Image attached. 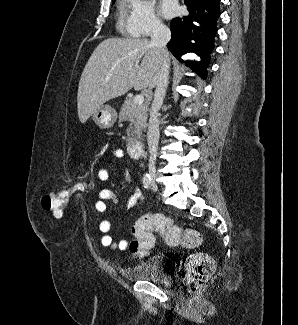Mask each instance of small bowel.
Segmentation results:
<instances>
[{
  "mask_svg": "<svg viewBox=\"0 0 298 325\" xmlns=\"http://www.w3.org/2000/svg\"><path fill=\"white\" fill-rule=\"evenodd\" d=\"M112 155L121 159L124 157V151L121 148L114 149L112 151ZM110 177L109 171L106 168H101L98 171V178L101 181H107ZM112 200L114 202H118L117 197L113 194V192L109 189H102L99 192V200L95 204V209L98 213H104L107 209L106 201ZM144 196L138 188H135L132 194L126 200V207L128 209L133 208L138 203H143ZM111 223L108 220H102L99 223V231L101 233V245L103 247H107L110 249H120L125 250L128 248V242L124 239L115 242L113 237L110 235Z\"/></svg>",
  "mask_w": 298,
  "mask_h": 325,
  "instance_id": "obj_1",
  "label": "small bowel"
}]
</instances>
